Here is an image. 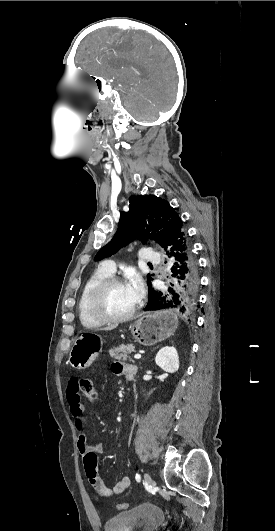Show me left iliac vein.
<instances>
[{
    "mask_svg": "<svg viewBox=\"0 0 275 531\" xmlns=\"http://www.w3.org/2000/svg\"><path fill=\"white\" fill-rule=\"evenodd\" d=\"M145 481L149 486H155V481L149 476V474L145 473L144 475Z\"/></svg>",
    "mask_w": 275,
    "mask_h": 531,
    "instance_id": "left-iliac-vein-1",
    "label": "left iliac vein"
}]
</instances>
